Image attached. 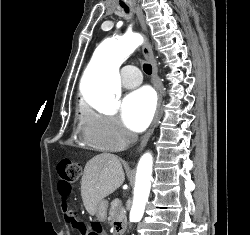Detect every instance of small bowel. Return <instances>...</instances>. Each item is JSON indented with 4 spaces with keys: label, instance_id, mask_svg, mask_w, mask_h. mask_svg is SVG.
<instances>
[{
    "label": "small bowel",
    "instance_id": "obj_1",
    "mask_svg": "<svg viewBox=\"0 0 250 235\" xmlns=\"http://www.w3.org/2000/svg\"><path fill=\"white\" fill-rule=\"evenodd\" d=\"M68 198H60V201L62 203L63 206H65L68 202ZM80 235H101L100 231L95 228V227H92V228H88V227H85L84 230L82 232H80Z\"/></svg>",
    "mask_w": 250,
    "mask_h": 235
}]
</instances>
